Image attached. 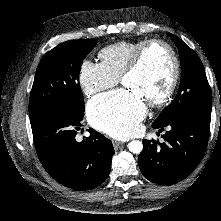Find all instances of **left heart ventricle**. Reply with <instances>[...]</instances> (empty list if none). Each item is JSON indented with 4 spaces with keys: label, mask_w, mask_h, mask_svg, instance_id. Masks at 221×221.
Masks as SVG:
<instances>
[{
    "label": "left heart ventricle",
    "mask_w": 221,
    "mask_h": 221,
    "mask_svg": "<svg viewBox=\"0 0 221 221\" xmlns=\"http://www.w3.org/2000/svg\"><path fill=\"white\" fill-rule=\"evenodd\" d=\"M170 72L171 61L167 51L155 45L147 50L138 70L126 77L123 84L147 102L164 92Z\"/></svg>",
    "instance_id": "left-heart-ventricle-1"
}]
</instances>
